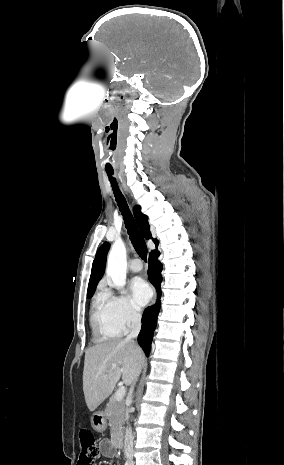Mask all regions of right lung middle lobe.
I'll return each instance as SVG.
<instances>
[{"label": "right lung middle lobe", "mask_w": 284, "mask_h": 465, "mask_svg": "<svg viewBox=\"0 0 284 465\" xmlns=\"http://www.w3.org/2000/svg\"><path fill=\"white\" fill-rule=\"evenodd\" d=\"M88 298L92 297V295H87Z\"/></svg>", "instance_id": "right-lung-middle-lobe-1"}]
</instances>
